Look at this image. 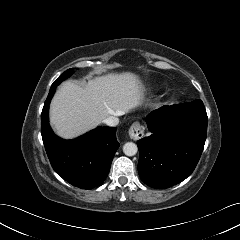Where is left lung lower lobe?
<instances>
[{"instance_id": "left-lung-lower-lobe-1", "label": "left lung lower lobe", "mask_w": 240, "mask_h": 240, "mask_svg": "<svg viewBox=\"0 0 240 240\" xmlns=\"http://www.w3.org/2000/svg\"><path fill=\"white\" fill-rule=\"evenodd\" d=\"M146 121L151 134L137 141L141 180L157 189L182 182L195 169L204 148L208 118L203 102L163 106Z\"/></svg>"}]
</instances>
